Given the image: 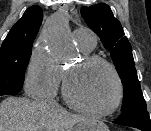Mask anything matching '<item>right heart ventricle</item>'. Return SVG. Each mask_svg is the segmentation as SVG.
<instances>
[{"label": "right heart ventricle", "instance_id": "1", "mask_svg": "<svg viewBox=\"0 0 151 131\" xmlns=\"http://www.w3.org/2000/svg\"><path fill=\"white\" fill-rule=\"evenodd\" d=\"M81 50H82L84 53H86V54L90 52V51H86V50H84V49H82V48H81Z\"/></svg>", "mask_w": 151, "mask_h": 131}]
</instances>
